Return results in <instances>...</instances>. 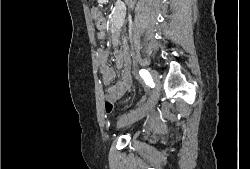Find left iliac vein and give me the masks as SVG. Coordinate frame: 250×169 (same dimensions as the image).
<instances>
[{"label":"left iliac vein","instance_id":"left-iliac-vein-1","mask_svg":"<svg viewBox=\"0 0 250 169\" xmlns=\"http://www.w3.org/2000/svg\"><path fill=\"white\" fill-rule=\"evenodd\" d=\"M151 76L155 83V88L150 98L143 107L120 117L117 123L118 127H124L142 119L156 105L161 92V81L159 74L153 69L151 70Z\"/></svg>","mask_w":250,"mask_h":169}]
</instances>
